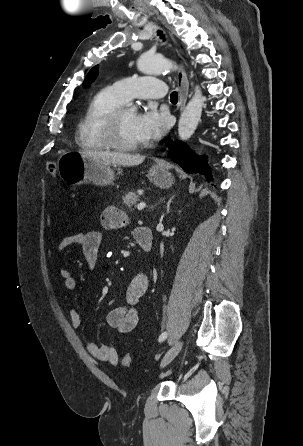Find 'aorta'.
<instances>
[{
  "label": "aorta",
  "mask_w": 303,
  "mask_h": 446,
  "mask_svg": "<svg viewBox=\"0 0 303 446\" xmlns=\"http://www.w3.org/2000/svg\"><path fill=\"white\" fill-rule=\"evenodd\" d=\"M139 71L144 74H162L175 69L174 63L158 56L143 54L137 62ZM204 98L200 88H195V93L182 112L178 123V135L181 140H188L197 128L201 119Z\"/></svg>",
  "instance_id": "aorta-1"
}]
</instances>
